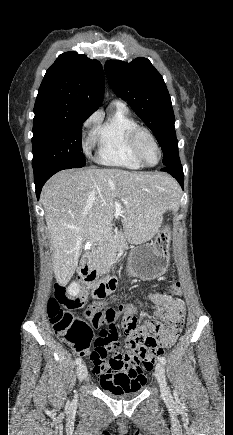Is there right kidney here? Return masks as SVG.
Listing matches in <instances>:
<instances>
[{
	"label": "right kidney",
	"instance_id": "1",
	"mask_svg": "<svg viewBox=\"0 0 233 435\" xmlns=\"http://www.w3.org/2000/svg\"><path fill=\"white\" fill-rule=\"evenodd\" d=\"M80 286L77 282H72L69 287L67 288L68 295L75 297L79 294Z\"/></svg>",
	"mask_w": 233,
	"mask_h": 435
}]
</instances>
